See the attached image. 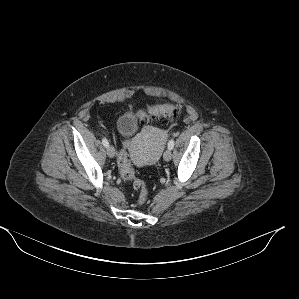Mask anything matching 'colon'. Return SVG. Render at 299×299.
I'll use <instances>...</instances> for the list:
<instances>
[{
	"label": "colon",
	"mask_w": 299,
	"mask_h": 299,
	"mask_svg": "<svg viewBox=\"0 0 299 299\" xmlns=\"http://www.w3.org/2000/svg\"><path fill=\"white\" fill-rule=\"evenodd\" d=\"M181 112L180 106L173 103H157L146 110L140 112L138 120L142 125H146L152 120H157L163 124L170 122ZM120 174L124 180L132 181L135 189L140 190V202H144L147 196L145 183L135 177V171L126 152H122L118 158Z\"/></svg>",
	"instance_id": "1"
}]
</instances>
